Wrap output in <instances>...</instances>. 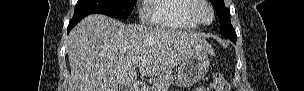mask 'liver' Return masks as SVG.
I'll return each mask as SVG.
<instances>
[{
  "instance_id": "6515ba94",
  "label": "liver",
  "mask_w": 304,
  "mask_h": 91,
  "mask_svg": "<svg viewBox=\"0 0 304 91\" xmlns=\"http://www.w3.org/2000/svg\"><path fill=\"white\" fill-rule=\"evenodd\" d=\"M192 50L213 53L197 32L162 27L125 25L94 14L84 18L69 34L67 53L71 67L68 91H125L141 74H168Z\"/></svg>"
}]
</instances>
